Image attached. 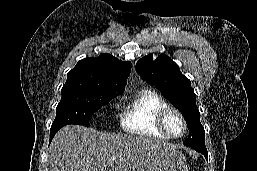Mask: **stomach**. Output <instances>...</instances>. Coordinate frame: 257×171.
Segmentation results:
<instances>
[{"label": "stomach", "mask_w": 257, "mask_h": 171, "mask_svg": "<svg viewBox=\"0 0 257 171\" xmlns=\"http://www.w3.org/2000/svg\"><path fill=\"white\" fill-rule=\"evenodd\" d=\"M137 171H188V166L181 152L158 149L146 155Z\"/></svg>", "instance_id": "1"}]
</instances>
